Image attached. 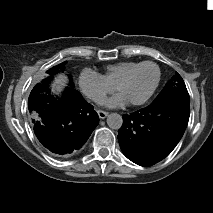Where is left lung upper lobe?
Segmentation results:
<instances>
[{
	"label": "left lung upper lobe",
	"instance_id": "obj_1",
	"mask_svg": "<svg viewBox=\"0 0 213 213\" xmlns=\"http://www.w3.org/2000/svg\"><path fill=\"white\" fill-rule=\"evenodd\" d=\"M168 94H179L189 97L185 83L178 73H176V75L172 77V79L166 84L155 100L160 99Z\"/></svg>",
	"mask_w": 213,
	"mask_h": 213
}]
</instances>
